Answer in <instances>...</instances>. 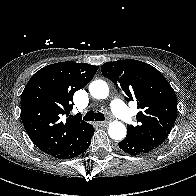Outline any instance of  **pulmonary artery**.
Instances as JSON below:
<instances>
[{"instance_id":"pulmonary-artery-1","label":"pulmonary artery","mask_w":196,"mask_h":196,"mask_svg":"<svg viewBox=\"0 0 196 196\" xmlns=\"http://www.w3.org/2000/svg\"><path fill=\"white\" fill-rule=\"evenodd\" d=\"M110 107L116 117L123 121H127L131 117L130 110L118 99L110 101Z\"/></svg>"}]
</instances>
